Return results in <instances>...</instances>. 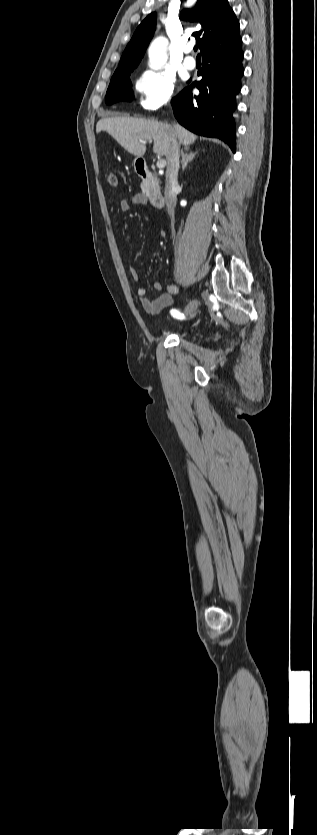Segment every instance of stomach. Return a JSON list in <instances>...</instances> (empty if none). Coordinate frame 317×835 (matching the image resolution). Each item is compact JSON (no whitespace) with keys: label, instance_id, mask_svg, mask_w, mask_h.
Returning a JSON list of instances; mask_svg holds the SVG:
<instances>
[{"label":"stomach","instance_id":"0dacf381","mask_svg":"<svg viewBox=\"0 0 317 835\" xmlns=\"http://www.w3.org/2000/svg\"><path fill=\"white\" fill-rule=\"evenodd\" d=\"M136 160H137V159H135V160H134V163H136Z\"/></svg>","mask_w":317,"mask_h":835}]
</instances>
